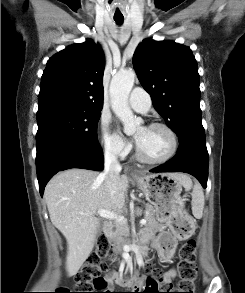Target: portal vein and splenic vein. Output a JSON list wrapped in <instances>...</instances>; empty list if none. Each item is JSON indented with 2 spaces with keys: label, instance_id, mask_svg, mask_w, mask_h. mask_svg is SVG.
Returning a JSON list of instances; mask_svg holds the SVG:
<instances>
[{
  "label": "portal vein and splenic vein",
  "instance_id": "1",
  "mask_svg": "<svg viewBox=\"0 0 245 293\" xmlns=\"http://www.w3.org/2000/svg\"><path fill=\"white\" fill-rule=\"evenodd\" d=\"M100 217L107 218V219H114L119 223H125L124 217L123 216H118L114 212L108 211V210H98L97 212ZM147 221L145 219L140 220V224L145 225Z\"/></svg>",
  "mask_w": 245,
  "mask_h": 293
}]
</instances>
